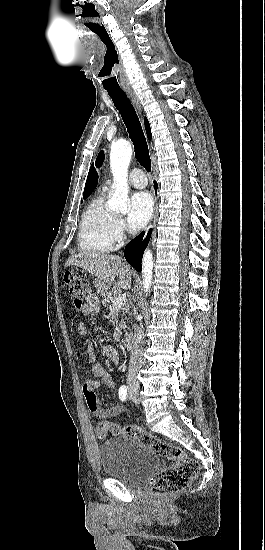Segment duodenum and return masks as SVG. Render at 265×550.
<instances>
[{"mask_svg":"<svg viewBox=\"0 0 265 550\" xmlns=\"http://www.w3.org/2000/svg\"><path fill=\"white\" fill-rule=\"evenodd\" d=\"M123 342H124V347L127 350H132L133 349V337H132L131 334H129V333L125 334Z\"/></svg>","mask_w":265,"mask_h":550,"instance_id":"obj_1","label":"duodenum"}]
</instances>
